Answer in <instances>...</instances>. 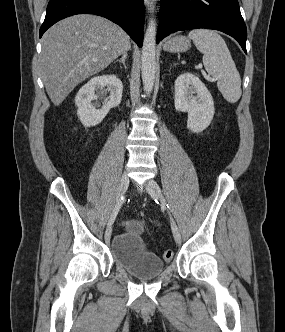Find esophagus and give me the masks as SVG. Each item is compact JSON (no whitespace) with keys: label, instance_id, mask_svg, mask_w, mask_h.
Instances as JSON below:
<instances>
[{"label":"esophagus","instance_id":"1","mask_svg":"<svg viewBox=\"0 0 285 332\" xmlns=\"http://www.w3.org/2000/svg\"><path fill=\"white\" fill-rule=\"evenodd\" d=\"M154 1L155 0H144L145 6L148 11H152L154 8Z\"/></svg>","mask_w":285,"mask_h":332}]
</instances>
